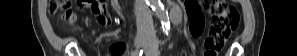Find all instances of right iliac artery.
Listing matches in <instances>:
<instances>
[{
  "mask_svg": "<svg viewBox=\"0 0 297 56\" xmlns=\"http://www.w3.org/2000/svg\"><path fill=\"white\" fill-rule=\"evenodd\" d=\"M142 53H143L142 50H136V51H134V52L131 54V56H141Z\"/></svg>",
  "mask_w": 297,
  "mask_h": 56,
  "instance_id": "1",
  "label": "right iliac artery"
}]
</instances>
